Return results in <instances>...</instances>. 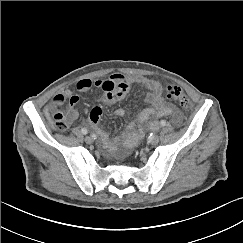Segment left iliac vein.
I'll list each match as a JSON object with an SVG mask.
<instances>
[{
  "mask_svg": "<svg viewBox=\"0 0 243 243\" xmlns=\"http://www.w3.org/2000/svg\"><path fill=\"white\" fill-rule=\"evenodd\" d=\"M150 145H157L159 143V137L158 136H155L154 138H152L150 140Z\"/></svg>",
  "mask_w": 243,
  "mask_h": 243,
  "instance_id": "1",
  "label": "left iliac vein"
}]
</instances>
